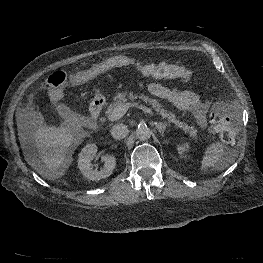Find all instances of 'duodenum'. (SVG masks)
Masks as SVG:
<instances>
[{"label":"duodenum","mask_w":263,"mask_h":263,"mask_svg":"<svg viewBox=\"0 0 263 263\" xmlns=\"http://www.w3.org/2000/svg\"><path fill=\"white\" fill-rule=\"evenodd\" d=\"M102 109L103 102L101 100L92 101L89 107L90 113L95 120H98L100 118Z\"/></svg>","instance_id":"duodenum-1"}]
</instances>
